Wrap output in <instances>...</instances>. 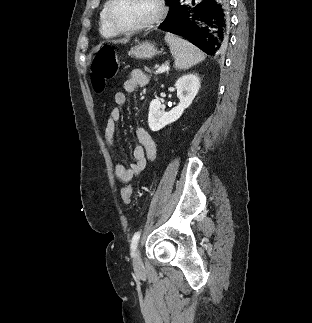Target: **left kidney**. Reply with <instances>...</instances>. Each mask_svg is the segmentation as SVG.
Instances as JSON below:
<instances>
[{
    "label": "left kidney",
    "instance_id": "5707ae66",
    "mask_svg": "<svg viewBox=\"0 0 312 323\" xmlns=\"http://www.w3.org/2000/svg\"><path fill=\"white\" fill-rule=\"evenodd\" d=\"M175 86L177 98H179L180 102L170 112H165V106H162L159 100H152L148 114V126L152 132H158V130H162L168 124L179 120L185 108H189L196 94H198L200 80L197 74H187V76H181Z\"/></svg>",
    "mask_w": 312,
    "mask_h": 323
}]
</instances>
